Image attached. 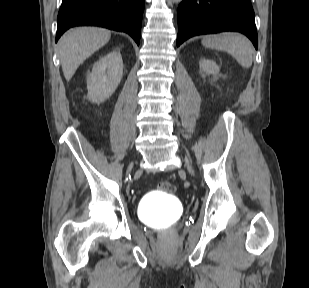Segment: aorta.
I'll return each mask as SVG.
<instances>
[{
	"instance_id": "762f6f07",
	"label": "aorta",
	"mask_w": 309,
	"mask_h": 288,
	"mask_svg": "<svg viewBox=\"0 0 309 288\" xmlns=\"http://www.w3.org/2000/svg\"><path fill=\"white\" fill-rule=\"evenodd\" d=\"M181 0H168L169 3H178L180 2Z\"/></svg>"
}]
</instances>
